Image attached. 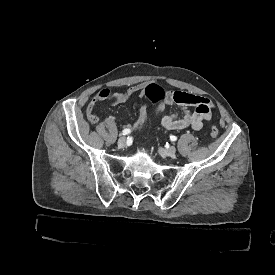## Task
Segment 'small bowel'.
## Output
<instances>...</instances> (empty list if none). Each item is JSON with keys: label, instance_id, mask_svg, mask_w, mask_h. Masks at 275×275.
Here are the masks:
<instances>
[{"label": "small bowel", "instance_id": "small-bowel-1", "mask_svg": "<svg viewBox=\"0 0 275 275\" xmlns=\"http://www.w3.org/2000/svg\"><path fill=\"white\" fill-rule=\"evenodd\" d=\"M145 87L146 85L144 83H139L120 92L102 89L89 102L87 107L95 109L99 102L105 100L113 106L122 104L133 95L143 94ZM174 105H179L183 109V114L181 116L168 114L162 117L161 125L167 130H181L190 127L195 131H199L202 129L203 123L212 117L213 106L208 98L184 91H169L165 98L156 105V117L147 119L146 124L159 117L166 106ZM191 106L195 107L194 111L188 110Z\"/></svg>", "mask_w": 275, "mask_h": 275}]
</instances>
